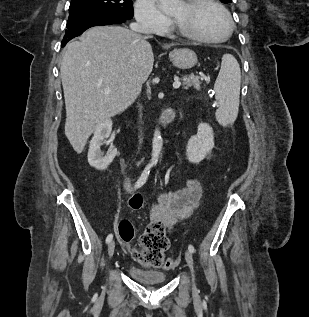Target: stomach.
<instances>
[{"mask_svg": "<svg viewBox=\"0 0 309 317\" xmlns=\"http://www.w3.org/2000/svg\"><path fill=\"white\" fill-rule=\"evenodd\" d=\"M173 65L179 69H190L197 64L196 53L189 48L174 49L169 53Z\"/></svg>", "mask_w": 309, "mask_h": 317, "instance_id": "1", "label": "stomach"}]
</instances>
